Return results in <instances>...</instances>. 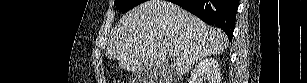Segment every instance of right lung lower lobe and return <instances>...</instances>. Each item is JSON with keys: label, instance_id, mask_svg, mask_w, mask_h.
<instances>
[{"label": "right lung lower lobe", "instance_id": "obj_1", "mask_svg": "<svg viewBox=\"0 0 307 83\" xmlns=\"http://www.w3.org/2000/svg\"><path fill=\"white\" fill-rule=\"evenodd\" d=\"M208 25H217L232 40L238 0H172Z\"/></svg>", "mask_w": 307, "mask_h": 83}]
</instances>
